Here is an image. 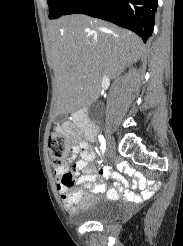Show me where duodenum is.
<instances>
[{
    "label": "duodenum",
    "instance_id": "410a0bca",
    "mask_svg": "<svg viewBox=\"0 0 183 246\" xmlns=\"http://www.w3.org/2000/svg\"><path fill=\"white\" fill-rule=\"evenodd\" d=\"M75 123H77L84 131L88 139H94L96 134V126L87 118V111L85 108L78 110L73 115Z\"/></svg>",
    "mask_w": 183,
    "mask_h": 246
}]
</instances>
